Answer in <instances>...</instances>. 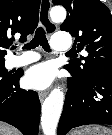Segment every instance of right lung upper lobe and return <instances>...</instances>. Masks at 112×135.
Listing matches in <instances>:
<instances>
[{"label":"right lung upper lobe","mask_w":112,"mask_h":135,"mask_svg":"<svg viewBox=\"0 0 112 135\" xmlns=\"http://www.w3.org/2000/svg\"><path fill=\"white\" fill-rule=\"evenodd\" d=\"M40 0H0V61H4L6 50L15 34L26 40L37 27Z\"/></svg>","instance_id":"cb5924a9"}]
</instances>
